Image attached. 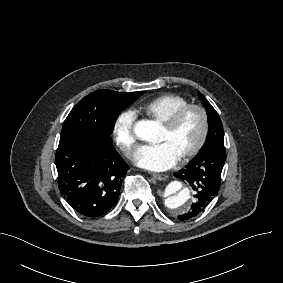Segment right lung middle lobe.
Returning <instances> with one entry per match:
<instances>
[{"label": "right lung middle lobe", "instance_id": "right-lung-middle-lobe-1", "mask_svg": "<svg viewBox=\"0 0 283 283\" xmlns=\"http://www.w3.org/2000/svg\"><path fill=\"white\" fill-rule=\"evenodd\" d=\"M144 92L120 93L97 90L79 101L67 116L61 136L81 134L112 143L110 134L121 111Z\"/></svg>", "mask_w": 283, "mask_h": 283}]
</instances>
